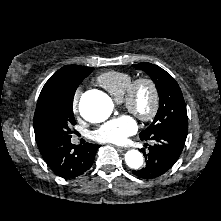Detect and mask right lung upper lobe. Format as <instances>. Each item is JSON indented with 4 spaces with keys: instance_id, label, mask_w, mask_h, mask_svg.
Segmentation results:
<instances>
[{
    "instance_id": "cb5924a9",
    "label": "right lung upper lobe",
    "mask_w": 221,
    "mask_h": 221,
    "mask_svg": "<svg viewBox=\"0 0 221 221\" xmlns=\"http://www.w3.org/2000/svg\"><path fill=\"white\" fill-rule=\"evenodd\" d=\"M84 66H79V65H67L62 67L61 69H59L44 85L39 98H41L42 96H44L47 92H49L50 90L63 85L65 83H67L71 77H72V73L76 70L79 69H85L87 67ZM38 148L42 147L43 143H37Z\"/></svg>"
}]
</instances>
